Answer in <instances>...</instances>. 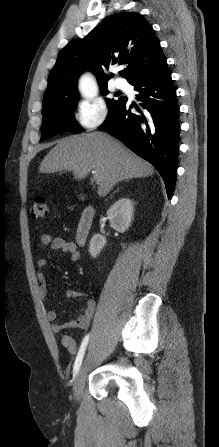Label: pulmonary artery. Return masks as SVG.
<instances>
[{
	"label": "pulmonary artery",
	"instance_id": "obj_1",
	"mask_svg": "<svg viewBox=\"0 0 219 447\" xmlns=\"http://www.w3.org/2000/svg\"><path fill=\"white\" fill-rule=\"evenodd\" d=\"M115 85L119 89H125L127 87V83L123 79H117Z\"/></svg>",
	"mask_w": 219,
	"mask_h": 447
}]
</instances>
